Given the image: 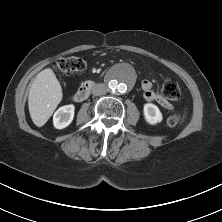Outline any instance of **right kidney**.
I'll return each instance as SVG.
<instances>
[{
  "label": "right kidney",
  "mask_w": 222,
  "mask_h": 222,
  "mask_svg": "<svg viewBox=\"0 0 222 222\" xmlns=\"http://www.w3.org/2000/svg\"><path fill=\"white\" fill-rule=\"evenodd\" d=\"M75 107L73 104L60 107L53 115V125L56 129L67 127L74 118Z\"/></svg>",
  "instance_id": "ca27d5eb"
}]
</instances>
